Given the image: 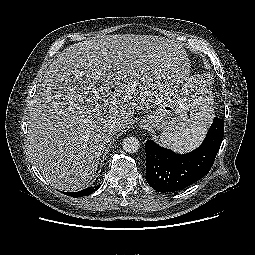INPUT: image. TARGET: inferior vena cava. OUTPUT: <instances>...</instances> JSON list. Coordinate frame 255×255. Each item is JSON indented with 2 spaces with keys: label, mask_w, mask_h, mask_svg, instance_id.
Wrapping results in <instances>:
<instances>
[{
  "label": "inferior vena cava",
  "mask_w": 255,
  "mask_h": 255,
  "mask_svg": "<svg viewBox=\"0 0 255 255\" xmlns=\"http://www.w3.org/2000/svg\"><path fill=\"white\" fill-rule=\"evenodd\" d=\"M108 125H109V127H110V129L112 130V131H114L115 129H117L118 128V126H119V120L118 119H112L109 123H108Z\"/></svg>",
  "instance_id": "1"
}]
</instances>
